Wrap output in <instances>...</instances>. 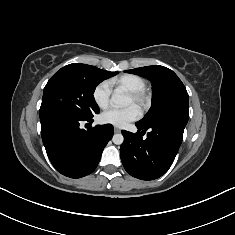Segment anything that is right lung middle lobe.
I'll return each mask as SVG.
<instances>
[{
  "label": "right lung middle lobe",
  "instance_id": "obj_1",
  "mask_svg": "<svg viewBox=\"0 0 235 235\" xmlns=\"http://www.w3.org/2000/svg\"><path fill=\"white\" fill-rule=\"evenodd\" d=\"M94 66L67 65L57 71L44 88L39 116H60L69 119H88L99 113L94 100L96 86L116 75Z\"/></svg>",
  "mask_w": 235,
  "mask_h": 235
}]
</instances>
